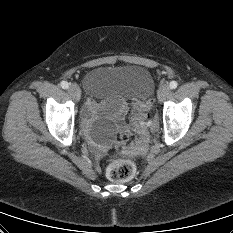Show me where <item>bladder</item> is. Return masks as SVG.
<instances>
[{"instance_id": "bladder-1", "label": "bladder", "mask_w": 233, "mask_h": 233, "mask_svg": "<svg viewBox=\"0 0 233 233\" xmlns=\"http://www.w3.org/2000/svg\"><path fill=\"white\" fill-rule=\"evenodd\" d=\"M83 87L89 97L101 101L142 104L152 96L155 82L151 72L139 65L96 67L84 76Z\"/></svg>"}]
</instances>
